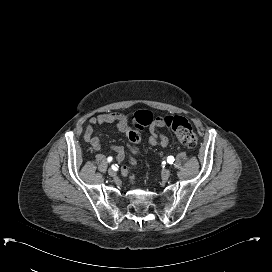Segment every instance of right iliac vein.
<instances>
[{"mask_svg": "<svg viewBox=\"0 0 272 272\" xmlns=\"http://www.w3.org/2000/svg\"><path fill=\"white\" fill-rule=\"evenodd\" d=\"M108 174H109V176H111V177H115V176L117 175V173H116V171H115L114 169H109V170H108Z\"/></svg>", "mask_w": 272, "mask_h": 272, "instance_id": "1", "label": "right iliac vein"}]
</instances>
